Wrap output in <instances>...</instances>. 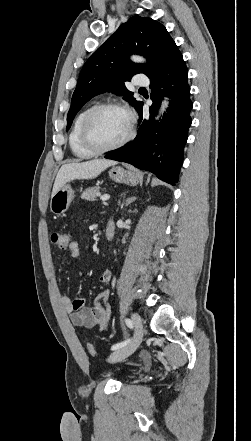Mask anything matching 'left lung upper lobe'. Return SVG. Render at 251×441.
<instances>
[{"instance_id":"5c2ea615","label":"left lung upper lobe","mask_w":251,"mask_h":441,"mask_svg":"<svg viewBox=\"0 0 251 441\" xmlns=\"http://www.w3.org/2000/svg\"><path fill=\"white\" fill-rule=\"evenodd\" d=\"M175 45L166 28L151 18L134 16L123 23L84 64L72 96L66 130L83 105L104 92L122 95L137 109L141 101L133 97L124 82L137 73L150 78ZM132 53L146 57L148 64L131 62L129 55Z\"/></svg>"}]
</instances>
